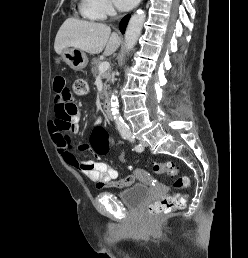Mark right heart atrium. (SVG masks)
<instances>
[{
	"label": "right heart atrium",
	"instance_id": "right-heart-atrium-1",
	"mask_svg": "<svg viewBox=\"0 0 248 258\" xmlns=\"http://www.w3.org/2000/svg\"><path fill=\"white\" fill-rule=\"evenodd\" d=\"M82 13L93 19H104L114 12L110 0H82Z\"/></svg>",
	"mask_w": 248,
	"mask_h": 258
}]
</instances>
